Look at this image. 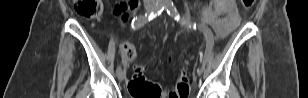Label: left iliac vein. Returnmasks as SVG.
Returning <instances> with one entry per match:
<instances>
[{
  "label": "left iliac vein",
  "instance_id": "1",
  "mask_svg": "<svg viewBox=\"0 0 308 98\" xmlns=\"http://www.w3.org/2000/svg\"><path fill=\"white\" fill-rule=\"evenodd\" d=\"M197 72H198L199 75H201V73H202V67L201 66L198 67Z\"/></svg>",
  "mask_w": 308,
  "mask_h": 98
}]
</instances>
